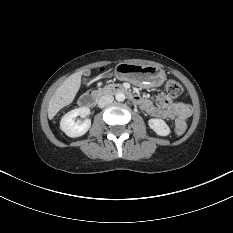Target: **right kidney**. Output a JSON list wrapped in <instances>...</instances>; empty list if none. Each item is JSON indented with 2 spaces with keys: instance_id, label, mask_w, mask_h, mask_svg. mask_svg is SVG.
<instances>
[{
  "instance_id": "obj_1",
  "label": "right kidney",
  "mask_w": 233,
  "mask_h": 233,
  "mask_svg": "<svg viewBox=\"0 0 233 233\" xmlns=\"http://www.w3.org/2000/svg\"><path fill=\"white\" fill-rule=\"evenodd\" d=\"M90 114V109L81 107L69 111L63 116L60 122L61 130L69 137L75 138L84 135L91 126V120L85 119L83 122H75V118L79 115L86 116Z\"/></svg>"
}]
</instances>
